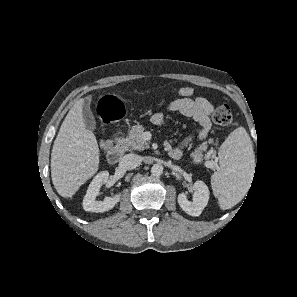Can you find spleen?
<instances>
[{"label": "spleen", "mask_w": 297, "mask_h": 297, "mask_svg": "<svg viewBox=\"0 0 297 297\" xmlns=\"http://www.w3.org/2000/svg\"><path fill=\"white\" fill-rule=\"evenodd\" d=\"M218 172L211 178L220 202H238L244 195L254 170V151L245 128L235 129L219 150Z\"/></svg>", "instance_id": "1"}]
</instances>
